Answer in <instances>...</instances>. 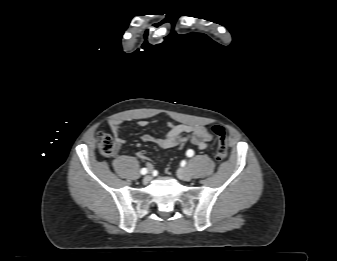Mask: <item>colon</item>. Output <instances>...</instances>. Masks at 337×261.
Wrapping results in <instances>:
<instances>
[{
  "label": "colon",
  "mask_w": 337,
  "mask_h": 261,
  "mask_svg": "<svg viewBox=\"0 0 337 261\" xmlns=\"http://www.w3.org/2000/svg\"><path fill=\"white\" fill-rule=\"evenodd\" d=\"M212 133L217 138V146L215 151V158L218 161L224 160L228 155V148H227V139L225 130L220 125H214L211 128ZM97 144L99 152L105 156L109 157L113 155L117 149V145L112 137L104 132H99L97 135Z\"/></svg>",
  "instance_id": "1"
}]
</instances>
